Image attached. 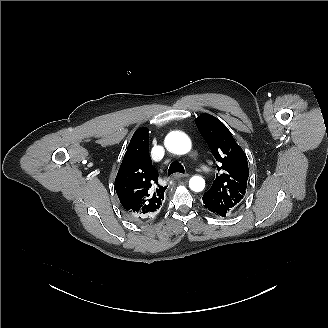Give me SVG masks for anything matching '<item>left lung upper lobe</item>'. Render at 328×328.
I'll list each match as a JSON object with an SVG mask.
<instances>
[{
	"instance_id": "1",
	"label": "left lung upper lobe",
	"mask_w": 328,
	"mask_h": 328,
	"mask_svg": "<svg viewBox=\"0 0 328 328\" xmlns=\"http://www.w3.org/2000/svg\"><path fill=\"white\" fill-rule=\"evenodd\" d=\"M212 154L219 162L212 187L203 196V206L226 217L244 197L249 176L247 157L228 128L216 117L203 114L196 120Z\"/></svg>"
}]
</instances>
